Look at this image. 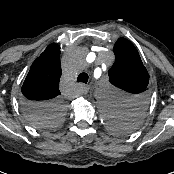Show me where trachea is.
Listing matches in <instances>:
<instances>
[{
    "instance_id": "obj_1",
    "label": "trachea",
    "mask_w": 174,
    "mask_h": 174,
    "mask_svg": "<svg viewBox=\"0 0 174 174\" xmlns=\"http://www.w3.org/2000/svg\"><path fill=\"white\" fill-rule=\"evenodd\" d=\"M77 82L87 83L88 82V74L87 73L79 74V76L77 78Z\"/></svg>"
}]
</instances>
